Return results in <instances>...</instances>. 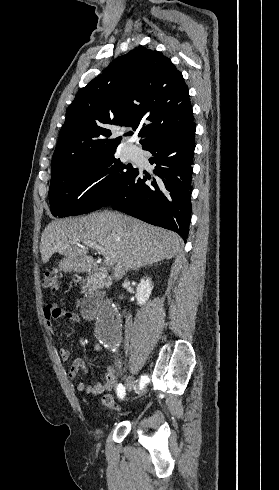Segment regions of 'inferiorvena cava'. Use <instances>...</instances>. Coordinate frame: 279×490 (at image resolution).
<instances>
[{
  "label": "inferior vena cava",
  "instance_id": "obj_1",
  "mask_svg": "<svg viewBox=\"0 0 279 490\" xmlns=\"http://www.w3.org/2000/svg\"><path fill=\"white\" fill-rule=\"evenodd\" d=\"M127 320H130V322H131V316H130V314H128Z\"/></svg>",
  "mask_w": 279,
  "mask_h": 490
}]
</instances>
